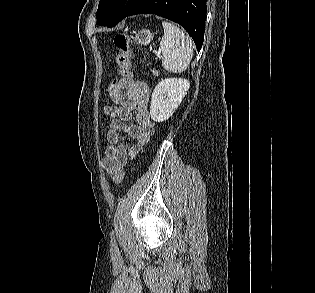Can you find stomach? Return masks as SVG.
<instances>
[{
    "label": "stomach",
    "mask_w": 315,
    "mask_h": 293,
    "mask_svg": "<svg viewBox=\"0 0 315 293\" xmlns=\"http://www.w3.org/2000/svg\"><path fill=\"white\" fill-rule=\"evenodd\" d=\"M131 38L134 43L141 46H147L152 42L154 38V33H152L149 29L142 28L138 32H134Z\"/></svg>",
    "instance_id": "1"
}]
</instances>
